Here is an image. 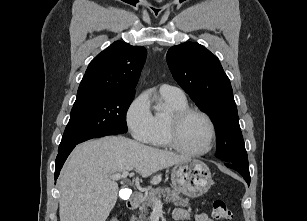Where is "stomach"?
<instances>
[{
    "label": "stomach",
    "mask_w": 307,
    "mask_h": 221,
    "mask_svg": "<svg viewBox=\"0 0 307 221\" xmlns=\"http://www.w3.org/2000/svg\"><path fill=\"white\" fill-rule=\"evenodd\" d=\"M171 180L178 192L192 198L205 194L213 182L209 167L196 159L174 165Z\"/></svg>",
    "instance_id": "0dacf381"
}]
</instances>
